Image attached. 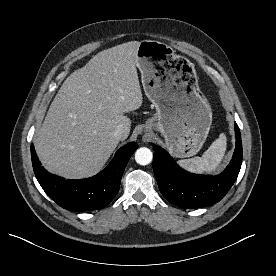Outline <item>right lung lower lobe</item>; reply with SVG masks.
Segmentation results:
<instances>
[{"label":"right lung lower lobe","instance_id":"98d812e1","mask_svg":"<svg viewBox=\"0 0 276 276\" xmlns=\"http://www.w3.org/2000/svg\"><path fill=\"white\" fill-rule=\"evenodd\" d=\"M137 148L135 142L125 145L102 172L83 180H66L47 172L33 145L31 157L35 176L52 200L70 211H90L104 208L118 193L124 169Z\"/></svg>","mask_w":276,"mask_h":276}]
</instances>
